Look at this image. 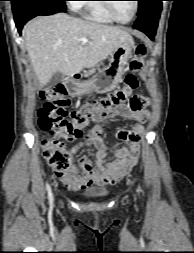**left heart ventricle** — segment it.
Instances as JSON below:
<instances>
[{
    "label": "left heart ventricle",
    "instance_id": "b2bd125f",
    "mask_svg": "<svg viewBox=\"0 0 194 253\" xmlns=\"http://www.w3.org/2000/svg\"><path fill=\"white\" fill-rule=\"evenodd\" d=\"M116 15L122 19H129L134 11V1H116L111 3Z\"/></svg>",
    "mask_w": 194,
    "mask_h": 253
}]
</instances>
